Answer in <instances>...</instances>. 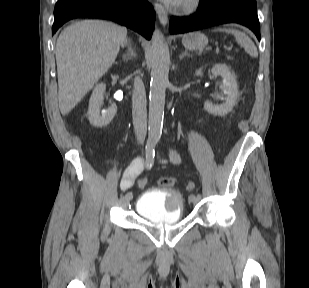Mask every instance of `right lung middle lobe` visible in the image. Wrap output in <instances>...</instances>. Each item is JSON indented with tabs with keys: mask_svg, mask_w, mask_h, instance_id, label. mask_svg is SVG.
<instances>
[{
	"mask_svg": "<svg viewBox=\"0 0 309 288\" xmlns=\"http://www.w3.org/2000/svg\"><path fill=\"white\" fill-rule=\"evenodd\" d=\"M67 1H69V0H58L56 6H60V5L64 4V3H66Z\"/></svg>",
	"mask_w": 309,
	"mask_h": 288,
	"instance_id": "dd1d6c3e",
	"label": "right lung middle lobe"
}]
</instances>
